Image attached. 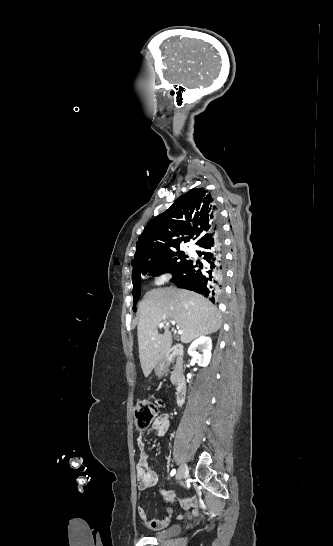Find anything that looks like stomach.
Returning <instances> with one entry per match:
<instances>
[{
	"mask_svg": "<svg viewBox=\"0 0 333 546\" xmlns=\"http://www.w3.org/2000/svg\"><path fill=\"white\" fill-rule=\"evenodd\" d=\"M168 367H169V362L166 357H163L161 360H159L156 363L154 367L156 375L158 377H163L166 374Z\"/></svg>",
	"mask_w": 333,
	"mask_h": 546,
	"instance_id": "obj_1",
	"label": "stomach"
}]
</instances>
